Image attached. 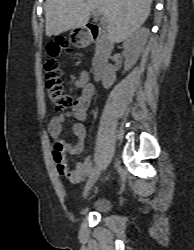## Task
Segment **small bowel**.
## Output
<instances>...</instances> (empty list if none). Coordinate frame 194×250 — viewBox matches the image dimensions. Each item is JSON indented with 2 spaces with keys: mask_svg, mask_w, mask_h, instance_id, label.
<instances>
[{
  "mask_svg": "<svg viewBox=\"0 0 194 250\" xmlns=\"http://www.w3.org/2000/svg\"><path fill=\"white\" fill-rule=\"evenodd\" d=\"M76 86L80 89V96L76 100V106L71 111L54 115L48 124L49 134L54 141L53 158L56 163L57 171L61 176H65L71 183L74 184L82 182L85 176H87L88 171L92 166V157H85L82 161L76 164L75 169L71 170L68 168L64 160L62 161L57 157V153L61 151L75 156L82 152L87 133L84 121L86 119L91 100L95 94V87L91 82H89L86 73H82L79 76L76 80ZM70 118H75L77 120L72 127L77 140L75 144H70L62 138L63 124L65 120ZM63 165L67 167L66 172H63L61 169V166Z\"/></svg>",
  "mask_w": 194,
  "mask_h": 250,
  "instance_id": "small-bowel-1",
  "label": "small bowel"
}]
</instances>
